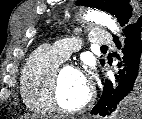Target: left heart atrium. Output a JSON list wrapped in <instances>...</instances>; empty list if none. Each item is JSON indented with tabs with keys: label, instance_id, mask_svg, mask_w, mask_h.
Wrapping results in <instances>:
<instances>
[{
	"label": "left heart atrium",
	"instance_id": "left-heart-atrium-1",
	"mask_svg": "<svg viewBox=\"0 0 142 119\" xmlns=\"http://www.w3.org/2000/svg\"><path fill=\"white\" fill-rule=\"evenodd\" d=\"M84 86L90 90L93 84V76L90 72H79Z\"/></svg>",
	"mask_w": 142,
	"mask_h": 119
}]
</instances>
